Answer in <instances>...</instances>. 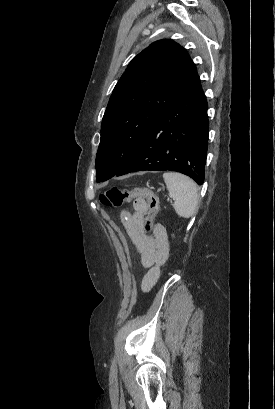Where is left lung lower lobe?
Segmentation results:
<instances>
[{
	"label": "left lung lower lobe",
	"instance_id": "0a47b994",
	"mask_svg": "<svg viewBox=\"0 0 275 409\" xmlns=\"http://www.w3.org/2000/svg\"><path fill=\"white\" fill-rule=\"evenodd\" d=\"M201 84L176 102L150 128L117 172L178 171L204 182L209 122Z\"/></svg>",
	"mask_w": 275,
	"mask_h": 409
}]
</instances>
